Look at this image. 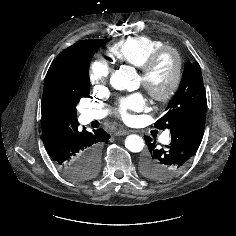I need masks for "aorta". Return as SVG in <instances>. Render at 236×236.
I'll use <instances>...</instances> for the list:
<instances>
[{
	"label": "aorta",
	"mask_w": 236,
	"mask_h": 236,
	"mask_svg": "<svg viewBox=\"0 0 236 236\" xmlns=\"http://www.w3.org/2000/svg\"><path fill=\"white\" fill-rule=\"evenodd\" d=\"M135 77L136 72L134 68L122 66L111 75L110 84L116 90H133L135 89ZM144 145V140L139 135L132 134L125 139V147L134 153L141 152Z\"/></svg>",
	"instance_id": "aorta-1"
}]
</instances>
